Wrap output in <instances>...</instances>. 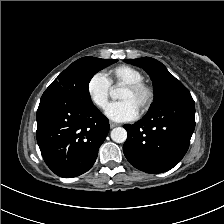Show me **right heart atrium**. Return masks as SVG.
Returning a JSON list of instances; mask_svg holds the SVG:
<instances>
[{
  "mask_svg": "<svg viewBox=\"0 0 224 224\" xmlns=\"http://www.w3.org/2000/svg\"><path fill=\"white\" fill-rule=\"evenodd\" d=\"M111 84L102 72L93 74L87 82V93L92 103L104 109L109 100Z\"/></svg>",
  "mask_w": 224,
  "mask_h": 224,
  "instance_id": "d8ad5b80",
  "label": "right heart atrium"
}]
</instances>
